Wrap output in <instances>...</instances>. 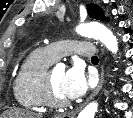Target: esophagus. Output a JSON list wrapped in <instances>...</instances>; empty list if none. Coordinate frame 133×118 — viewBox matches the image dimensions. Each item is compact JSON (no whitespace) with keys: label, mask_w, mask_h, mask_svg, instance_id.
<instances>
[{"label":"esophagus","mask_w":133,"mask_h":118,"mask_svg":"<svg viewBox=\"0 0 133 118\" xmlns=\"http://www.w3.org/2000/svg\"><path fill=\"white\" fill-rule=\"evenodd\" d=\"M103 82H104V68L102 66L99 83L96 86V88L92 91L90 96L78 108L61 114L60 118H74L77 115V113L100 91V89L102 88Z\"/></svg>","instance_id":"obj_1"}]
</instances>
